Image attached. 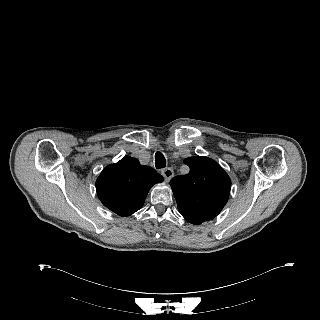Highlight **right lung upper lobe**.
<instances>
[{
    "instance_id": "1",
    "label": "right lung upper lobe",
    "mask_w": 320,
    "mask_h": 320,
    "mask_svg": "<svg viewBox=\"0 0 320 320\" xmlns=\"http://www.w3.org/2000/svg\"><path fill=\"white\" fill-rule=\"evenodd\" d=\"M162 181L163 177L153 168L125 156L105 167L97 178L96 190L103 205L125 217L138 211L150 188Z\"/></svg>"
}]
</instances>
